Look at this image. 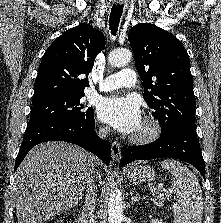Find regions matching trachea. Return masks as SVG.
Wrapping results in <instances>:
<instances>
[{"mask_svg":"<svg viewBox=\"0 0 221 223\" xmlns=\"http://www.w3.org/2000/svg\"><path fill=\"white\" fill-rule=\"evenodd\" d=\"M123 6L122 5H113L110 13L109 26L111 33L116 35L118 31V25L120 22V18L122 16Z\"/></svg>","mask_w":221,"mask_h":223,"instance_id":"obj_1","label":"trachea"}]
</instances>
